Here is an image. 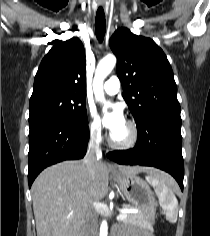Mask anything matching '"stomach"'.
Wrapping results in <instances>:
<instances>
[{
	"mask_svg": "<svg viewBox=\"0 0 210 236\" xmlns=\"http://www.w3.org/2000/svg\"><path fill=\"white\" fill-rule=\"evenodd\" d=\"M113 178L119 184L127 201L153 223L157 201L147 182L136 175L126 176L120 173H113Z\"/></svg>",
	"mask_w": 210,
	"mask_h": 236,
	"instance_id": "1",
	"label": "stomach"
}]
</instances>
